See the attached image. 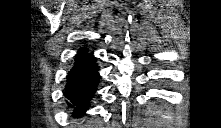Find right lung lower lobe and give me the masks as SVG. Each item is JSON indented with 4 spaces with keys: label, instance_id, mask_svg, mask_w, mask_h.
<instances>
[{
    "label": "right lung lower lobe",
    "instance_id": "98d812e1",
    "mask_svg": "<svg viewBox=\"0 0 221 128\" xmlns=\"http://www.w3.org/2000/svg\"><path fill=\"white\" fill-rule=\"evenodd\" d=\"M98 69L95 57L88 53L87 48H81L67 75L64 92L68 105L74 107V117L81 116L89 108L99 83Z\"/></svg>",
    "mask_w": 221,
    "mask_h": 128
}]
</instances>
